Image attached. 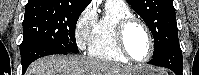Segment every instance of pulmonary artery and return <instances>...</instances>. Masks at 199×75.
<instances>
[{
  "mask_svg": "<svg viewBox=\"0 0 199 75\" xmlns=\"http://www.w3.org/2000/svg\"><path fill=\"white\" fill-rule=\"evenodd\" d=\"M106 6L126 7L127 5L125 1L108 0L106 1Z\"/></svg>",
  "mask_w": 199,
  "mask_h": 75,
  "instance_id": "1",
  "label": "pulmonary artery"
}]
</instances>
